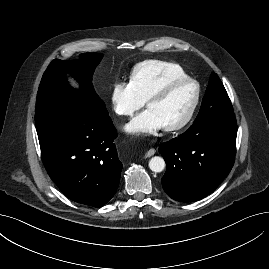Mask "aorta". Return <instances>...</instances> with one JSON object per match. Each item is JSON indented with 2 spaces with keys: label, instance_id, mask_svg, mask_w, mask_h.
<instances>
[{
  "label": "aorta",
  "instance_id": "aorta-1",
  "mask_svg": "<svg viewBox=\"0 0 269 269\" xmlns=\"http://www.w3.org/2000/svg\"><path fill=\"white\" fill-rule=\"evenodd\" d=\"M149 168L155 173H160L165 168V161L162 157L155 156L152 157L149 161Z\"/></svg>",
  "mask_w": 269,
  "mask_h": 269
}]
</instances>
